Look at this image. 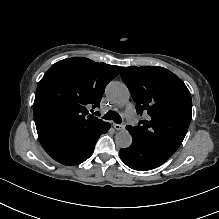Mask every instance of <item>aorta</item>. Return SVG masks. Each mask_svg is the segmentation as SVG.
I'll return each mask as SVG.
<instances>
[{"instance_id":"aorta-1","label":"aorta","mask_w":219,"mask_h":219,"mask_svg":"<svg viewBox=\"0 0 219 219\" xmlns=\"http://www.w3.org/2000/svg\"><path fill=\"white\" fill-rule=\"evenodd\" d=\"M105 93L111 101L119 105L126 104L130 98L127 86L119 81L110 82ZM115 143L120 148H127L132 144V136L127 130L120 131L115 135Z\"/></svg>"}]
</instances>
